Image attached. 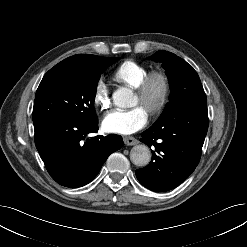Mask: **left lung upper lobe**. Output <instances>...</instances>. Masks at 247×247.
I'll return each instance as SVG.
<instances>
[{
    "instance_id": "obj_1",
    "label": "left lung upper lobe",
    "mask_w": 247,
    "mask_h": 247,
    "mask_svg": "<svg viewBox=\"0 0 247 247\" xmlns=\"http://www.w3.org/2000/svg\"><path fill=\"white\" fill-rule=\"evenodd\" d=\"M149 59L162 62L171 86L170 101L158 120L172 117L193 106L207 105L200 78L186 61L163 50L157 51Z\"/></svg>"
}]
</instances>
